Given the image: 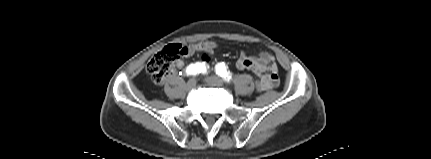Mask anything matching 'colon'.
Instances as JSON below:
<instances>
[{
    "instance_id": "colon-1",
    "label": "colon",
    "mask_w": 431,
    "mask_h": 159,
    "mask_svg": "<svg viewBox=\"0 0 431 159\" xmlns=\"http://www.w3.org/2000/svg\"><path fill=\"white\" fill-rule=\"evenodd\" d=\"M208 54H201V53ZM211 50L206 47H185L181 44H171L157 53H155L148 61L146 71L150 78L155 83H160L164 77L171 71L175 62L189 55H201V63L208 64L211 61ZM261 89V82L255 78L254 91L258 92Z\"/></svg>"
}]
</instances>
